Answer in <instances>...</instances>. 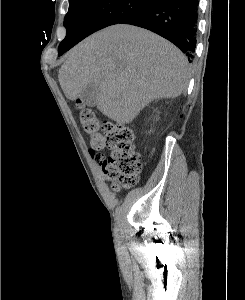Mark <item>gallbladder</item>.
Here are the masks:
<instances>
[{"label": "gallbladder", "mask_w": 245, "mask_h": 300, "mask_svg": "<svg viewBox=\"0 0 245 300\" xmlns=\"http://www.w3.org/2000/svg\"><path fill=\"white\" fill-rule=\"evenodd\" d=\"M99 94V86L96 84H90L81 93L82 102L87 106L93 107L96 105V100Z\"/></svg>", "instance_id": "gallbladder-1"}]
</instances>
